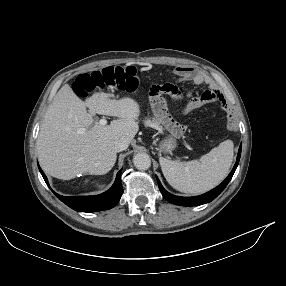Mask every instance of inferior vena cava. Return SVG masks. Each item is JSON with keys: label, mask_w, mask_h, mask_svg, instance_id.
<instances>
[{"label": "inferior vena cava", "mask_w": 286, "mask_h": 286, "mask_svg": "<svg viewBox=\"0 0 286 286\" xmlns=\"http://www.w3.org/2000/svg\"><path fill=\"white\" fill-rule=\"evenodd\" d=\"M129 143L126 139H119L115 143V150L116 152H120L125 150L128 147Z\"/></svg>", "instance_id": "602c4592"}]
</instances>
